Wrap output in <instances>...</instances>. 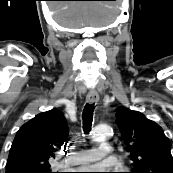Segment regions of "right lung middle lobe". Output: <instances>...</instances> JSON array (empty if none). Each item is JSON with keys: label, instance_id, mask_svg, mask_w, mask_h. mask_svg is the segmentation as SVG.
Returning a JSON list of instances; mask_svg holds the SVG:
<instances>
[{"label": "right lung middle lobe", "instance_id": "dd1d6c3e", "mask_svg": "<svg viewBox=\"0 0 173 173\" xmlns=\"http://www.w3.org/2000/svg\"><path fill=\"white\" fill-rule=\"evenodd\" d=\"M32 173H52V172L50 171V168H46V169L32 171Z\"/></svg>", "mask_w": 173, "mask_h": 173}]
</instances>
